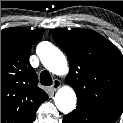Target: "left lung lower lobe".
<instances>
[{"mask_svg":"<svg viewBox=\"0 0 123 123\" xmlns=\"http://www.w3.org/2000/svg\"><path fill=\"white\" fill-rule=\"evenodd\" d=\"M118 115L106 110L77 102L73 112L63 118V123H114Z\"/></svg>","mask_w":123,"mask_h":123,"instance_id":"obj_1","label":"left lung lower lobe"}]
</instances>
